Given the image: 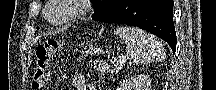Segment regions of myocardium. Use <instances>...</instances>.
<instances>
[{"mask_svg":"<svg viewBox=\"0 0 216 90\" xmlns=\"http://www.w3.org/2000/svg\"><path fill=\"white\" fill-rule=\"evenodd\" d=\"M86 3H95V0H51V11L46 12V22L52 28H63L83 17L89 10ZM65 9L67 14L62 19H57V11Z\"/></svg>","mask_w":216,"mask_h":90,"instance_id":"f54148a6","label":"myocardium"}]
</instances>
